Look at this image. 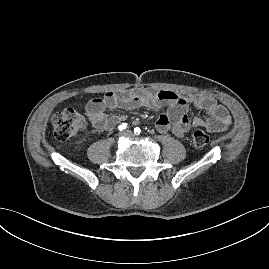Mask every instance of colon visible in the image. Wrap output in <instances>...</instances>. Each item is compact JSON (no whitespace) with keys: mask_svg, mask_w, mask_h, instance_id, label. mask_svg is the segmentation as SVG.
Instances as JSON below:
<instances>
[{"mask_svg":"<svg viewBox=\"0 0 269 269\" xmlns=\"http://www.w3.org/2000/svg\"><path fill=\"white\" fill-rule=\"evenodd\" d=\"M52 124L55 138L59 141H67L85 128L86 119L79 111L69 107L56 113L52 118ZM208 143L209 136L205 132L201 130L194 132L193 144L195 147L202 149Z\"/></svg>","mask_w":269,"mask_h":269,"instance_id":"1","label":"colon"}]
</instances>
